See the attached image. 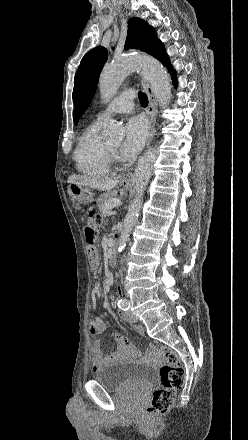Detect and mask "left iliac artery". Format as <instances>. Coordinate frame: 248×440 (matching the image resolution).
Segmentation results:
<instances>
[{
    "mask_svg": "<svg viewBox=\"0 0 248 440\" xmlns=\"http://www.w3.org/2000/svg\"><path fill=\"white\" fill-rule=\"evenodd\" d=\"M117 305L121 310H124V311H126L130 308V302L125 298L119 299L117 302Z\"/></svg>",
    "mask_w": 248,
    "mask_h": 440,
    "instance_id": "left-iliac-artery-1",
    "label": "left iliac artery"
}]
</instances>
